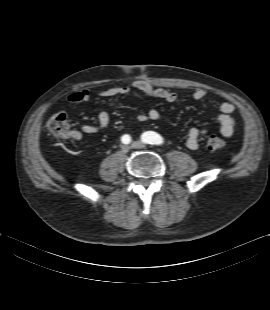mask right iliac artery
<instances>
[{
    "instance_id": "1",
    "label": "right iliac artery",
    "mask_w": 270,
    "mask_h": 310,
    "mask_svg": "<svg viewBox=\"0 0 270 310\" xmlns=\"http://www.w3.org/2000/svg\"><path fill=\"white\" fill-rule=\"evenodd\" d=\"M121 141L124 144H129L131 142V137L129 135L125 134L121 137Z\"/></svg>"
}]
</instances>
